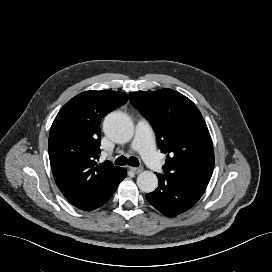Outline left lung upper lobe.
<instances>
[{
	"label": "left lung upper lobe",
	"instance_id": "5c2ea615",
	"mask_svg": "<svg viewBox=\"0 0 272 272\" xmlns=\"http://www.w3.org/2000/svg\"><path fill=\"white\" fill-rule=\"evenodd\" d=\"M132 105L153 124L164 172L208 184L214 168L213 143L196 105L172 89L130 93Z\"/></svg>",
	"mask_w": 272,
	"mask_h": 272
}]
</instances>
